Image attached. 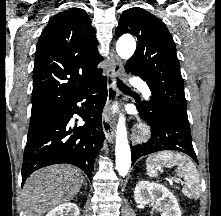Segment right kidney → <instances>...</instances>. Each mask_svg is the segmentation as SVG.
Listing matches in <instances>:
<instances>
[{"mask_svg":"<svg viewBox=\"0 0 221 216\" xmlns=\"http://www.w3.org/2000/svg\"><path fill=\"white\" fill-rule=\"evenodd\" d=\"M79 207L74 203H64L53 208L46 216H79Z\"/></svg>","mask_w":221,"mask_h":216,"instance_id":"obj_1","label":"right kidney"}]
</instances>
